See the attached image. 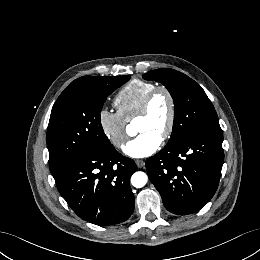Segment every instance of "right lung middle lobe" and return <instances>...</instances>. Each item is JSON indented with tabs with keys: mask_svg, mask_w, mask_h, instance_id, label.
<instances>
[{
	"mask_svg": "<svg viewBox=\"0 0 260 260\" xmlns=\"http://www.w3.org/2000/svg\"><path fill=\"white\" fill-rule=\"evenodd\" d=\"M129 79L130 76H98L62 92L52 108L47 129L51 172L73 156L106 153L114 148L103 131L100 112L107 96Z\"/></svg>",
	"mask_w": 260,
	"mask_h": 260,
	"instance_id": "dd1d6c3e",
	"label": "right lung middle lobe"
}]
</instances>
